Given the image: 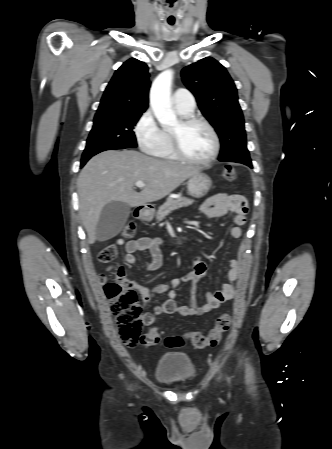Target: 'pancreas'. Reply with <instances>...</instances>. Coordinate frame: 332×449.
<instances>
[{"label":"pancreas","mask_w":332,"mask_h":449,"mask_svg":"<svg viewBox=\"0 0 332 449\" xmlns=\"http://www.w3.org/2000/svg\"><path fill=\"white\" fill-rule=\"evenodd\" d=\"M194 201L185 197L167 198L166 202L156 212V220L162 221L173 210L191 205Z\"/></svg>","instance_id":"pancreas-1"}]
</instances>
